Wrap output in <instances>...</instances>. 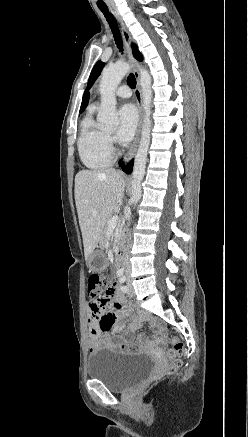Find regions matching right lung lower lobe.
I'll return each instance as SVG.
<instances>
[{
    "label": "right lung lower lobe",
    "instance_id": "98d812e1",
    "mask_svg": "<svg viewBox=\"0 0 248 437\" xmlns=\"http://www.w3.org/2000/svg\"><path fill=\"white\" fill-rule=\"evenodd\" d=\"M120 164L122 165V162H120ZM122 170L127 173L130 174L133 170V160L126 166H122Z\"/></svg>",
    "mask_w": 248,
    "mask_h": 437
}]
</instances>
